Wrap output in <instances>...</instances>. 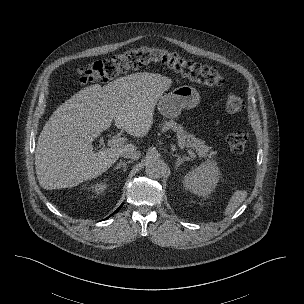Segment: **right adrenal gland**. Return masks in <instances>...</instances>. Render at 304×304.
<instances>
[{
  "label": "right adrenal gland",
  "mask_w": 304,
  "mask_h": 304,
  "mask_svg": "<svg viewBox=\"0 0 304 304\" xmlns=\"http://www.w3.org/2000/svg\"><path fill=\"white\" fill-rule=\"evenodd\" d=\"M131 162H132V160L127 161V162H123V161H121V160H120L119 164H117V166H116V167H114V170H116V169H120V168H123V171H125V170H126L127 165H128V164H130Z\"/></svg>",
  "instance_id": "1"
}]
</instances>
